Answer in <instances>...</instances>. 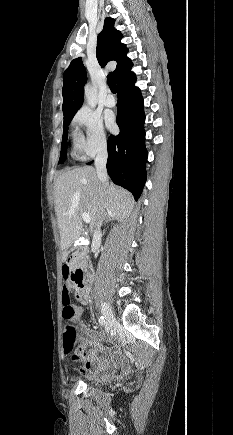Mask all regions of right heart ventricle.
Segmentation results:
<instances>
[{
	"mask_svg": "<svg viewBox=\"0 0 233 435\" xmlns=\"http://www.w3.org/2000/svg\"><path fill=\"white\" fill-rule=\"evenodd\" d=\"M79 139V136L77 134H75V141L77 142Z\"/></svg>",
	"mask_w": 233,
	"mask_h": 435,
	"instance_id": "obj_1",
	"label": "right heart ventricle"
}]
</instances>
